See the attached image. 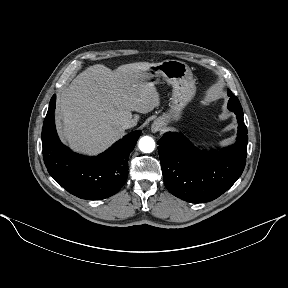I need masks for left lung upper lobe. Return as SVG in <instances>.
I'll list each match as a JSON object with an SVG mask.
<instances>
[{
    "mask_svg": "<svg viewBox=\"0 0 288 288\" xmlns=\"http://www.w3.org/2000/svg\"><path fill=\"white\" fill-rule=\"evenodd\" d=\"M228 95L230 96V99L228 101V109L230 111H235L243 114V110L238 98L235 95H233L230 90H228Z\"/></svg>",
    "mask_w": 288,
    "mask_h": 288,
    "instance_id": "5c2ea615",
    "label": "left lung upper lobe"
}]
</instances>
